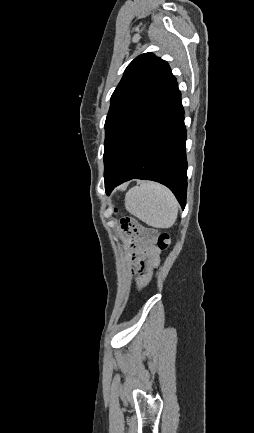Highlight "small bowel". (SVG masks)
<instances>
[{"label": "small bowel", "instance_id": "1", "mask_svg": "<svg viewBox=\"0 0 254 433\" xmlns=\"http://www.w3.org/2000/svg\"><path fill=\"white\" fill-rule=\"evenodd\" d=\"M153 240V234H144L141 238V255L132 267V272L137 275V281L139 284H144L148 281L152 269L159 262V251L153 245Z\"/></svg>", "mask_w": 254, "mask_h": 433}]
</instances>
